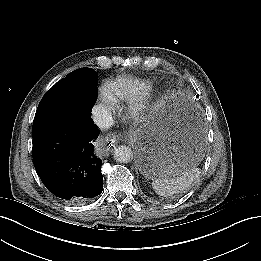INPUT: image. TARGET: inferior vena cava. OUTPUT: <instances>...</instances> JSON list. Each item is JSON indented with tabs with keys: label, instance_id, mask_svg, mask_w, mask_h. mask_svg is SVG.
<instances>
[{
	"label": "inferior vena cava",
	"instance_id": "obj_1",
	"mask_svg": "<svg viewBox=\"0 0 261 261\" xmlns=\"http://www.w3.org/2000/svg\"><path fill=\"white\" fill-rule=\"evenodd\" d=\"M92 119L99 128H109L113 125L114 120L111 112L105 108L97 106L93 109Z\"/></svg>",
	"mask_w": 261,
	"mask_h": 261
}]
</instances>
